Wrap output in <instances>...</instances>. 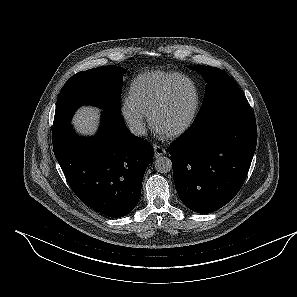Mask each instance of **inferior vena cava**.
<instances>
[{
    "label": "inferior vena cava",
    "instance_id": "602c4592",
    "mask_svg": "<svg viewBox=\"0 0 297 297\" xmlns=\"http://www.w3.org/2000/svg\"><path fill=\"white\" fill-rule=\"evenodd\" d=\"M129 130L135 136H145L147 129L145 124L140 120H134L129 123Z\"/></svg>",
    "mask_w": 297,
    "mask_h": 297
}]
</instances>
